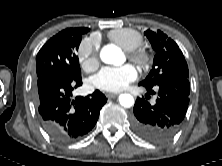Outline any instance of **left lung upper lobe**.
<instances>
[{
	"label": "left lung upper lobe",
	"mask_w": 222,
	"mask_h": 166,
	"mask_svg": "<svg viewBox=\"0 0 222 166\" xmlns=\"http://www.w3.org/2000/svg\"><path fill=\"white\" fill-rule=\"evenodd\" d=\"M156 52L153 67L140 85L154 87L169 78H189L186 60L178 45L161 31L147 30L144 33Z\"/></svg>",
	"instance_id": "1"
}]
</instances>
